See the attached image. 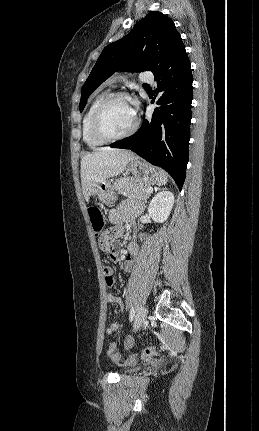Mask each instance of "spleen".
Segmentation results:
<instances>
[{
    "label": "spleen",
    "mask_w": 259,
    "mask_h": 431,
    "mask_svg": "<svg viewBox=\"0 0 259 431\" xmlns=\"http://www.w3.org/2000/svg\"><path fill=\"white\" fill-rule=\"evenodd\" d=\"M159 175H160V183L165 185L168 181V175L164 170H159Z\"/></svg>",
    "instance_id": "spleen-1"
}]
</instances>
